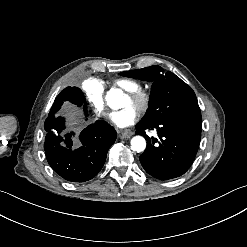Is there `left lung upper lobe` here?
Wrapping results in <instances>:
<instances>
[{
  "mask_svg": "<svg viewBox=\"0 0 247 247\" xmlns=\"http://www.w3.org/2000/svg\"><path fill=\"white\" fill-rule=\"evenodd\" d=\"M120 75L153 82L149 108L138 124L181 119L201 125V112L192 88L172 72H163L160 66H150L121 72Z\"/></svg>",
  "mask_w": 247,
  "mask_h": 247,
  "instance_id": "obj_1",
  "label": "left lung upper lobe"
}]
</instances>
